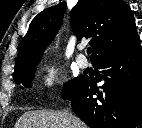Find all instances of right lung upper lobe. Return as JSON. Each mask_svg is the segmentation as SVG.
<instances>
[{"label": "right lung upper lobe", "instance_id": "right-lung-upper-lobe-1", "mask_svg": "<svg viewBox=\"0 0 142 128\" xmlns=\"http://www.w3.org/2000/svg\"><path fill=\"white\" fill-rule=\"evenodd\" d=\"M65 9L66 3L62 2L43 10L32 20L22 39L15 67L41 58L61 25ZM70 18L79 40L91 38L92 64L139 43L132 11L123 0H79Z\"/></svg>", "mask_w": 142, "mask_h": 128}]
</instances>
